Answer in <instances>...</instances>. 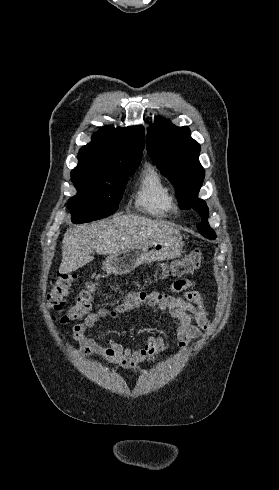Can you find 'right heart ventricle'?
<instances>
[{"label":"right heart ventricle","instance_id":"1","mask_svg":"<svg viewBox=\"0 0 279 490\" xmlns=\"http://www.w3.org/2000/svg\"><path fill=\"white\" fill-rule=\"evenodd\" d=\"M136 204L145 213L158 218H169L179 211L172 185L154 165L147 166L141 175Z\"/></svg>","mask_w":279,"mask_h":490}]
</instances>
